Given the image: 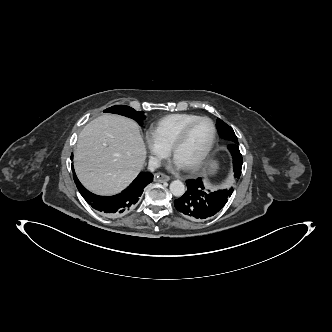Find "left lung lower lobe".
<instances>
[{
  "label": "left lung lower lobe",
  "instance_id": "obj_1",
  "mask_svg": "<svg viewBox=\"0 0 332 332\" xmlns=\"http://www.w3.org/2000/svg\"><path fill=\"white\" fill-rule=\"evenodd\" d=\"M231 146L235 153V162L241 171L243 160L239 147L234 144ZM186 185V193L175 200L174 205L184 216L197 221L213 217L224 207L232 194V190L227 189L207 192L201 178L187 180Z\"/></svg>",
  "mask_w": 332,
  "mask_h": 332
}]
</instances>
